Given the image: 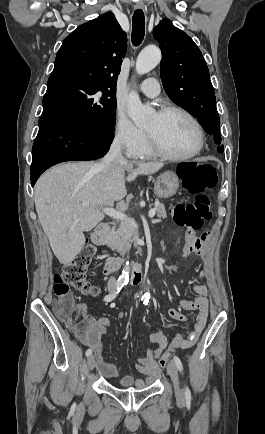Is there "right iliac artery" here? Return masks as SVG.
Instances as JSON below:
<instances>
[{
  "label": "right iliac artery",
  "mask_w": 265,
  "mask_h": 434,
  "mask_svg": "<svg viewBox=\"0 0 265 434\" xmlns=\"http://www.w3.org/2000/svg\"><path fill=\"white\" fill-rule=\"evenodd\" d=\"M125 284L126 283L123 281H117L116 286H115V290L113 292H111L110 294H107L104 297V301L105 302H111L112 300H114ZM91 354H92V350L87 349L86 356L88 357Z\"/></svg>",
  "instance_id": "right-iliac-artery-1"
}]
</instances>
